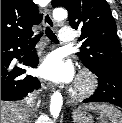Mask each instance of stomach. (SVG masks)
Listing matches in <instances>:
<instances>
[{
	"instance_id": "stomach-1",
	"label": "stomach",
	"mask_w": 122,
	"mask_h": 123,
	"mask_svg": "<svg viewBox=\"0 0 122 123\" xmlns=\"http://www.w3.org/2000/svg\"><path fill=\"white\" fill-rule=\"evenodd\" d=\"M73 120L74 123H93V118L91 115L86 112H81L78 114H74L73 112Z\"/></svg>"
}]
</instances>
